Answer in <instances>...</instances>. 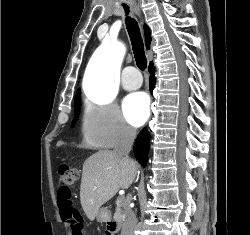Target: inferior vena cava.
I'll list each match as a JSON object with an SVG mask.
<instances>
[{
	"label": "inferior vena cava",
	"mask_w": 250,
	"mask_h": 235,
	"mask_svg": "<svg viewBox=\"0 0 250 235\" xmlns=\"http://www.w3.org/2000/svg\"><path fill=\"white\" fill-rule=\"evenodd\" d=\"M136 137V131L123 123L121 125L120 137L114 152L123 160L130 161L129 152ZM137 223L135 213L127 207L125 209V221L121 230V235H134V229Z\"/></svg>",
	"instance_id": "1"
}]
</instances>
